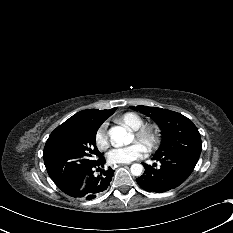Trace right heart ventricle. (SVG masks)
I'll use <instances>...</instances> for the list:
<instances>
[{
  "label": "right heart ventricle",
  "mask_w": 233,
  "mask_h": 233,
  "mask_svg": "<svg viewBox=\"0 0 233 233\" xmlns=\"http://www.w3.org/2000/svg\"><path fill=\"white\" fill-rule=\"evenodd\" d=\"M115 122L133 130L144 123V118L136 112H126L118 116Z\"/></svg>",
  "instance_id": "e07e8e85"
}]
</instances>
